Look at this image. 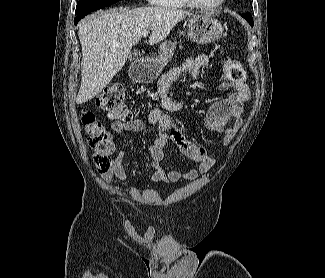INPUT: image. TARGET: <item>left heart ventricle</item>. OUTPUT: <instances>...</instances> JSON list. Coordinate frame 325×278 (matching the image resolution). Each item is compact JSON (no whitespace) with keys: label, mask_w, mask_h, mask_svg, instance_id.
<instances>
[{"label":"left heart ventricle","mask_w":325,"mask_h":278,"mask_svg":"<svg viewBox=\"0 0 325 278\" xmlns=\"http://www.w3.org/2000/svg\"><path fill=\"white\" fill-rule=\"evenodd\" d=\"M200 4L209 5L215 3L217 0H195Z\"/></svg>","instance_id":"1"}]
</instances>
